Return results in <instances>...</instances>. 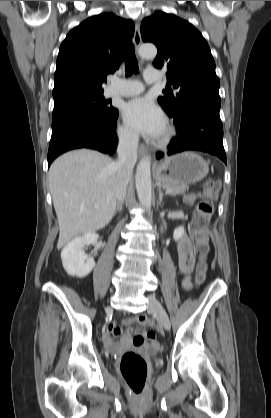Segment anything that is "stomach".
<instances>
[{
  "label": "stomach",
  "instance_id": "1",
  "mask_svg": "<svg viewBox=\"0 0 271 418\" xmlns=\"http://www.w3.org/2000/svg\"><path fill=\"white\" fill-rule=\"evenodd\" d=\"M209 172L208 162L194 152H184L166 158L156 170L161 184H191L203 180Z\"/></svg>",
  "mask_w": 271,
  "mask_h": 418
}]
</instances>
